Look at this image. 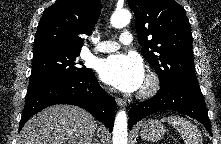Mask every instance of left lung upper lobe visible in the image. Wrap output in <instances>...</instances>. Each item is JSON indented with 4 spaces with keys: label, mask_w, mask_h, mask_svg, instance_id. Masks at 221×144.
I'll return each instance as SVG.
<instances>
[{
    "label": "left lung upper lobe",
    "mask_w": 221,
    "mask_h": 144,
    "mask_svg": "<svg viewBox=\"0 0 221 144\" xmlns=\"http://www.w3.org/2000/svg\"><path fill=\"white\" fill-rule=\"evenodd\" d=\"M136 18L143 57L160 86L180 82L199 86L192 57V34L184 8L175 0H128Z\"/></svg>",
    "instance_id": "obj_1"
}]
</instances>
